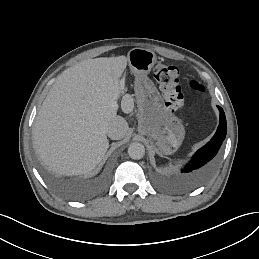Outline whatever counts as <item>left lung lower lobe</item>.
Returning a JSON list of instances; mask_svg holds the SVG:
<instances>
[{
    "label": "left lung lower lobe",
    "mask_w": 259,
    "mask_h": 259,
    "mask_svg": "<svg viewBox=\"0 0 259 259\" xmlns=\"http://www.w3.org/2000/svg\"><path fill=\"white\" fill-rule=\"evenodd\" d=\"M220 111L218 129L213 138L181 168V173L185 176H200L208 173L216 163V155L225 139L227 124L223 109L217 106Z\"/></svg>",
    "instance_id": "obj_1"
}]
</instances>
